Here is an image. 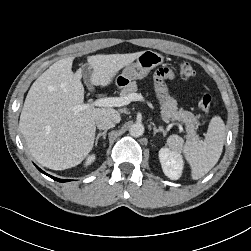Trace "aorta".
Masks as SVG:
<instances>
[{
  "label": "aorta",
  "mask_w": 251,
  "mask_h": 251,
  "mask_svg": "<svg viewBox=\"0 0 251 251\" xmlns=\"http://www.w3.org/2000/svg\"><path fill=\"white\" fill-rule=\"evenodd\" d=\"M144 133V125L142 123H134L130 127V135L133 137H140Z\"/></svg>",
  "instance_id": "obj_1"
}]
</instances>
